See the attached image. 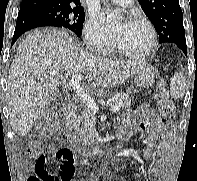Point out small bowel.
<instances>
[{
	"label": "small bowel",
	"instance_id": "c3829d8e",
	"mask_svg": "<svg viewBox=\"0 0 197 181\" xmlns=\"http://www.w3.org/2000/svg\"><path fill=\"white\" fill-rule=\"evenodd\" d=\"M137 133H145L144 160H149L153 156L158 158L149 169L148 181H168L169 163L173 160L172 145L175 135L173 125L160 120L151 107L142 105L134 114L124 117L119 134L123 138H129ZM49 149L53 150V147L50 146ZM35 150L39 151L37 149L31 151Z\"/></svg>",
	"mask_w": 197,
	"mask_h": 181
}]
</instances>
